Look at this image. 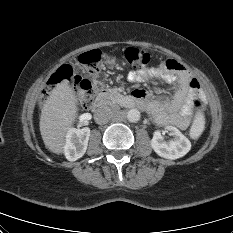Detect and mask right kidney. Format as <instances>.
Masks as SVG:
<instances>
[{
	"instance_id": "1",
	"label": "right kidney",
	"mask_w": 233,
	"mask_h": 233,
	"mask_svg": "<svg viewBox=\"0 0 233 233\" xmlns=\"http://www.w3.org/2000/svg\"><path fill=\"white\" fill-rule=\"evenodd\" d=\"M89 137L90 129L87 127L82 129L71 128L68 131L64 153L69 161H76L85 154Z\"/></svg>"
}]
</instances>
